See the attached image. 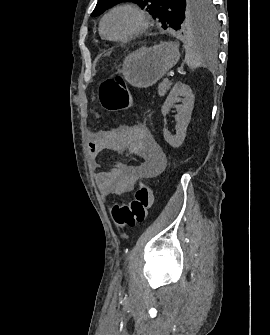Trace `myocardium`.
<instances>
[{
    "instance_id": "myocardium-1",
    "label": "myocardium",
    "mask_w": 270,
    "mask_h": 335,
    "mask_svg": "<svg viewBox=\"0 0 270 335\" xmlns=\"http://www.w3.org/2000/svg\"><path fill=\"white\" fill-rule=\"evenodd\" d=\"M120 10H128L133 12L134 14H136L140 20V25L139 27L128 33L125 34L123 36L117 37V38H113L110 37L105 30V23L106 20L108 19V17L113 14L114 12L120 11ZM151 23V18L138 6L134 5V4H122L119 5L117 7H114L113 9H111L109 12H107L104 17L102 18L101 22H100V31L102 33V35L107 38L108 40H112V41H124V40H128V39H132L135 36H138L140 34H142L143 32H145ZM135 52H139V51H135ZM127 78H134V77H127Z\"/></svg>"
}]
</instances>
